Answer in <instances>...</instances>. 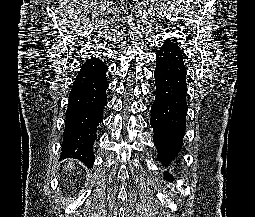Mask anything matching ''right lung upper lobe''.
Masks as SVG:
<instances>
[{
	"instance_id": "cb5924a9",
	"label": "right lung upper lobe",
	"mask_w": 255,
	"mask_h": 217,
	"mask_svg": "<svg viewBox=\"0 0 255 217\" xmlns=\"http://www.w3.org/2000/svg\"><path fill=\"white\" fill-rule=\"evenodd\" d=\"M90 59H95V57H91Z\"/></svg>"
}]
</instances>
